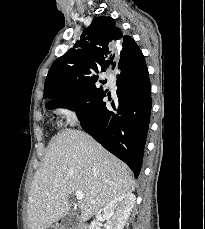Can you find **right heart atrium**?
Here are the masks:
<instances>
[{
	"label": "right heart atrium",
	"mask_w": 205,
	"mask_h": 229,
	"mask_svg": "<svg viewBox=\"0 0 205 229\" xmlns=\"http://www.w3.org/2000/svg\"><path fill=\"white\" fill-rule=\"evenodd\" d=\"M57 112L64 121L71 125L76 124L80 117L78 105L70 101L59 104Z\"/></svg>",
	"instance_id": "obj_1"
}]
</instances>
